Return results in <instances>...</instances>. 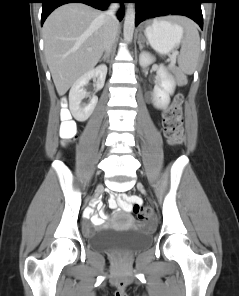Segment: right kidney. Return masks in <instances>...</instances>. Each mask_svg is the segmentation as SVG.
I'll list each match as a JSON object with an SVG mask.
<instances>
[{"mask_svg": "<svg viewBox=\"0 0 239 296\" xmlns=\"http://www.w3.org/2000/svg\"><path fill=\"white\" fill-rule=\"evenodd\" d=\"M107 75V66L99 65L98 67L89 70L79 77L72 85L69 92V108L73 117L80 122L86 121L93 113L98 98L93 95L88 104H82V100L86 97L84 87L91 79H97L96 90L103 88Z\"/></svg>", "mask_w": 239, "mask_h": 296, "instance_id": "right-kidney-1", "label": "right kidney"}]
</instances>
